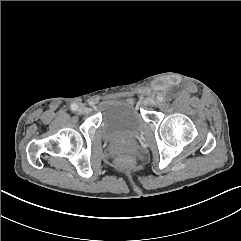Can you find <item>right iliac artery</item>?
<instances>
[{"label": "right iliac artery", "mask_w": 241, "mask_h": 241, "mask_svg": "<svg viewBox=\"0 0 241 241\" xmlns=\"http://www.w3.org/2000/svg\"><path fill=\"white\" fill-rule=\"evenodd\" d=\"M78 109V105L77 104H72L71 105V110H73V111H76Z\"/></svg>", "instance_id": "1"}]
</instances>
